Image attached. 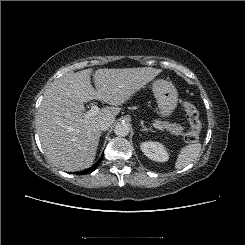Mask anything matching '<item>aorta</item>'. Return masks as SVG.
Masks as SVG:
<instances>
[{
    "label": "aorta",
    "instance_id": "762f6f07",
    "mask_svg": "<svg viewBox=\"0 0 245 245\" xmlns=\"http://www.w3.org/2000/svg\"><path fill=\"white\" fill-rule=\"evenodd\" d=\"M130 132V125L125 121L118 122L115 125L114 133L119 137H125Z\"/></svg>",
    "mask_w": 245,
    "mask_h": 245
}]
</instances>
